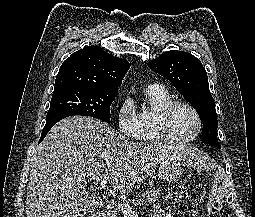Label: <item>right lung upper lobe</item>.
Instances as JSON below:
<instances>
[{
    "instance_id": "1",
    "label": "right lung upper lobe",
    "mask_w": 255,
    "mask_h": 217,
    "mask_svg": "<svg viewBox=\"0 0 255 217\" xmlns=\"http://www.w3.org/2000/svg\"><path fill=\"white\" fill-rule=\"evenodd\" d=\"M130 65L95 46L73 53L60 67L55 87L83 86L98 90L116 91Z\"/></svg>"
}]
</instances>
